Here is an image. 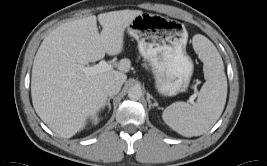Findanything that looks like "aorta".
<instances>
[{
	"mask_svg": "<svg viewBox=\"0 0 267 166\" xmlns=\"http://www.w3.org/2000/svg\"><path fill=\"white\" fill-rule=\"evenodd\" d=\"M142 96V90L139 87H131L128 91V97L131 100H139Z\"/></svg>",
	"mask_w": 267,
	"mask_h": 166,
	"instance_id": "762f6f07",
	"label": "aorta"
}]
</instances>
